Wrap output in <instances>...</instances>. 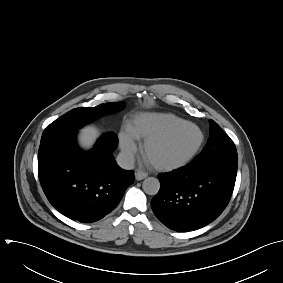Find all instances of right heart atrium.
Segmentation results:
<instances>
[{
    "mask_svg": "<svg viewBox=\"0 0 283 283\" xmlns=\"http://www.w3.org/2000/svg\"><path fill=\"white\" fill-rule=\"evenodd\" d=\"M119 143L122 152L128 157L132 156L136 151L134 140L124 131L119 134Z\"/></svg>",
    "mask_w": 283,
    "mask_h": 283,
    "instance_id": "d8ad5b80",
    "label": "right heart atrium"
}]
</instances>
